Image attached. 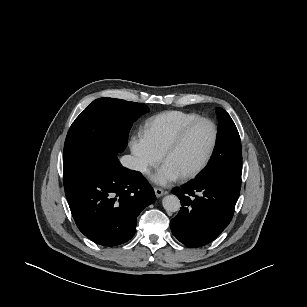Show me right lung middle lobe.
<instances>
[{"instance_id":"dd1d6c3e","label":"right lung middle lobe","mask_w":307,"mask_h":307,"mask_svg":"<svg viewBox=\"0 0 307 307\" xmlns=\"http://www.w3.org/2000/svg\"><path fill=\"white\" fill-rule=\"evenodd\" d=\"M145 104L115 98L94 100L72 123L64 144L63 179L69 187L123 151Z\"/></svg>"}]
</instances>
